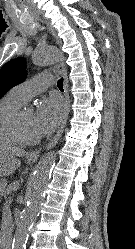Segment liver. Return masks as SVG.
Instances as JSON below:
<instances>
[{"instance_id": "liver-1", "label": "liver", "mask_w": 135, "mask_h": 249, "mask_svg": "<svg viewBox=\"0 0 135 249\" xmlns=\"http://www.w3.org/2000/svg\"><path fill=\"white\" fill-rule=\"evenodd\" d=\"M0 149L4 150L5 152L18 157L26 156L27 153L19 148L9 147V146H1Z\"/></svg>"}]
</instances>
